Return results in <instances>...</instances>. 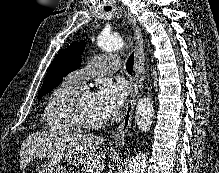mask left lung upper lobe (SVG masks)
<instances>
[{
	"mask_svg": "<svg viewBox=\"0 0 219 173\" xmlns=\"http://www.w3.org/2000/svg\"><path fill=\"white\" fill-rule=\"evenodd\" d=\"M84 46L85 41L73 42L56 55L48 68L45 80L38 93V98L56 88L66 74L80 67Z\"/></svg>",
	"mask_w": 219,
	"mask_h": 173,
	"instance_id": "obj_1",
	"label": "left lung upper lobe"
}]
</instances>
